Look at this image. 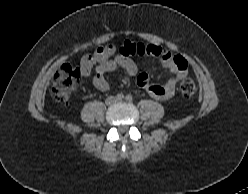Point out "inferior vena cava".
I'll return each instance as SVG.
<instances>
[{
  "instance_id": "602c4592",
  "label": "inferior vena cava",
  "mask_w": 248,
  "mask_h": 194,
  "mask_svg": "<svg viewBox=\"0 0 248 194\" xmlns=\"http://www.w3.org/2000/svg\"><path fill=\"white\" fill-rule=\"evenodd\" d=\"M114 102H116V98H115V97H112V96L108 97V98L106 99V101H105V103H106L107 105H110V104H112V103H114Z\"/></svg>"
}]
</instances>
